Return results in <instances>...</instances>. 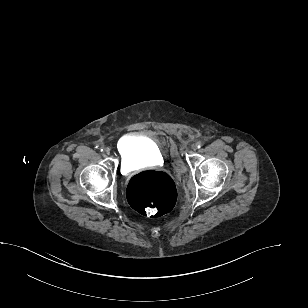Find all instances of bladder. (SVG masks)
<instances>
[{
	"label": "bladder",
	"instance_id": "bladder-1",
	"mask_svg": "<svg viewBox=\"0 0 308 308\" xmlns=\"http://www.w3.org/2000/svg\"><path fill=\"white\" fill-rule=\"evenodd\" d=\"M118 153L122 166L127 168L155 165L163 160L158 143L140 132L124 136L118 144Z\"/></svg>",
	"mask_w": 308,
	"mask_h": 308
}]
</instances>
